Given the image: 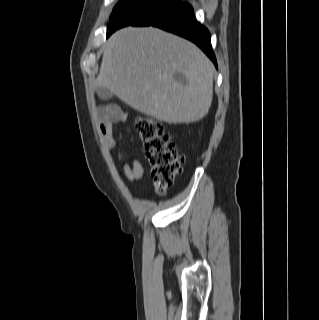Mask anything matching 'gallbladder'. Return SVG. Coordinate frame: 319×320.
<instances>
[{"instance_id":"bac80fb5","label":"gallbladder","mask_w":319,"mask_h":320,"mask_svg":"<svg viewBox=\"0 0 319 320\" xmlns=\"http://www.w3.org/2000/svg\"><path fill=\"white\" fill-rule=\"evenodd\" d=\"M97 94L102 100H109L113 97V93L104 87H98Z\"/></svg>"}]
</instances>
